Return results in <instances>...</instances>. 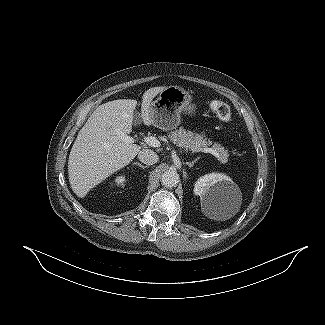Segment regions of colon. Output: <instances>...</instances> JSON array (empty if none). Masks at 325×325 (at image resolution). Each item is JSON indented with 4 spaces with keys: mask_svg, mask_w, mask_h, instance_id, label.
<instances>
[{
    "mask_svg": "<svg viewBox=\"0 0 325 325\" xmlns=\"http://www.w3.org/2000/svg\"><path fill=\"white\" fill-rule=\"evenodd\" d=\"M210 108L222 122L227 123L231 120V110L226 103L213 100L210 102Z\"/></svg>",
    "mask_w": 325,
    "mask_h": 325,
    "instance_id": "colon-1",
    "label": "colon"
}]
</instances>
